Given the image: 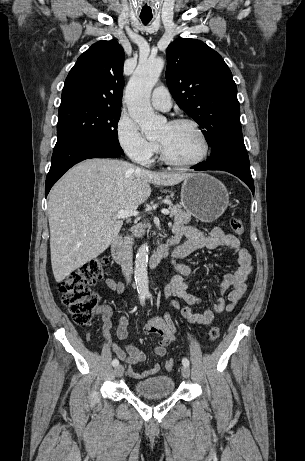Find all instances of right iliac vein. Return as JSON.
<instances>
[{
    "mask_svg": "<svg viewBox=\"0 0 305 461\" xmlns=\"http://www.w3.org/2000/svg\"><path fill=\"white\" fill-rule=\"evenodd\" d=\"M114 373L117 377H121L124 373V368L122 365H118L117 367H115L114 369Z\"/></svg>",
    "mask_w": 305,
    "mask_h": 461,
    "instance_id": "obj_1",
    "label": "right iliac vein"
}]
</instances>
